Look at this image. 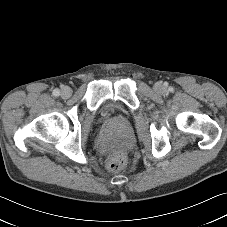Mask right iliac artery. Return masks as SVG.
<instances>
[{
	"label": "right iliac artery",
	"instance_id": "right-iliac-artery-1",
	"mask_svg": "<svg viewBox=\"0 0 227 227\" xmlns=\"http://www.w3.org/2000/svg\"><path fill=\"white\" fill-rule=\"evenodd\" d=\"M53 95H54L55 97L59 96V95H60V90H59V89H54V90H53Z\"/></svg>",
	"mask_w": 227,
	"mask_h": 227
}]
</instances>
